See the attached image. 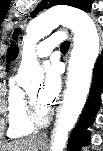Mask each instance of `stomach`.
Instances as JSON below:
<instances>
[{
  "label": "stomach",
  "mask_w": 103,
  "mask_h": 151,
  "mask_svg": "<svg viewBox=\"0 0 103 151\" xmlns=\"http://www.w3.org/2000/svg\"><path fill=\"white\" fill-rule=\"evenodd\" d=\"M45 146H46L45 142H43L42 140H38L37 149H43V148H45Z\"/></svg>",
  "instance_id": "1"
}]
</instances>
